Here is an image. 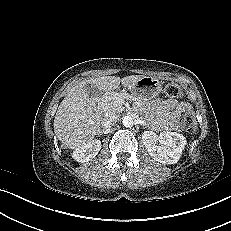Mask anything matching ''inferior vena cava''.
<instances>
[{"label":"inferior vena cava","instance_id":"1","mask_svg":"<svg viewBox=\"0 0 231 231\" xmlns=\"http://www.w3.org/2000/svg\"><path fill=\"white\" fill-rule=\"evenodd\" d=\"M118 121V116L115 114H107L102 120V126L104 128H109L113 126Z\"/></svg>","mask_w":231,"mask_h":231}]
</instances>
